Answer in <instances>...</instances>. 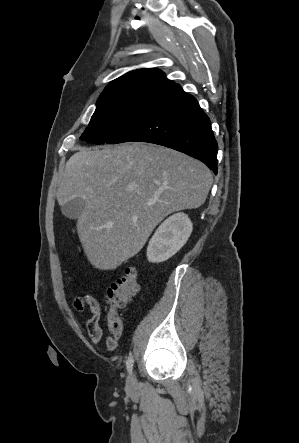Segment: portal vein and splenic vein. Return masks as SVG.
I'll list each match as a JSON object with an SVG mask.
<instances>
[{
	"mask_svg": "<svg viewBox=\"0 0 299 443\" xmlns=\"http://www.w3.org/2000/svg\"><path fill=\"white\" fill-rule=\"evenodd\" d=\"M147 204H148V205H151V204H152V202H148Z\"/></svg>",
	"mask_w": 299,
	"mask_h": 443,
	"instance_id": "18ae733b",
	"label": "portal vein and splenic vein"
}]
</instances>
